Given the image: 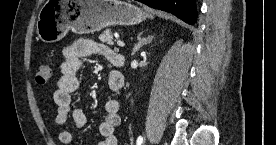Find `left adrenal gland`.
Returning <instances> with one entry per match:
<instances>
[{
    "mask_svg": "<svg viewBox=\"0 0 276 145\" xmlns=\"http://www.w3.org/2000/svg\"><path fill=\"white\" fill-rule=\"evenodd\" d=\"M142 34H143V32L139 33V35L137 37L138 43L135 44V46L133 48L132 55H134L143 45L149 44L153 39V36H148V37L143 38Z\"/></svg>",
    "mask_w": 276,
    "mask_h": 145,
    "instance_id": "a2214340",
    "label": "left adrenal gland"
}]
</instances>
